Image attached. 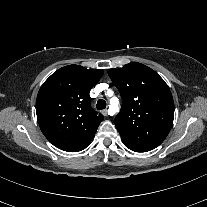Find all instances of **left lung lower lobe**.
I'll list each match as a JSON object with an SVG mask.
<instances>
[{
  "mask_svg": "<svg viewBox=\"0 0 207 207\" xmlns=\"http://www.w3.org/2000/svg\"><path fill=\"white\" fill-rule=\"evenodd\" d=\"M122 140H123L124 145L127 148H129L130 150L135 151V152H147V151H150L155 148V147H151V146L136 144L134 142L127 141L124 139H122Z\"/></svg>",
  "mask_w": 207,
  "mask_h": 207,
  "instance_id": "1",
  "label": "left lung lower lobe"
}]
</instances>
